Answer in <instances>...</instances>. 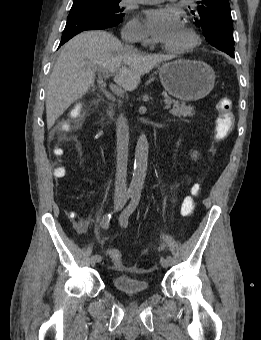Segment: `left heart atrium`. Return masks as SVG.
Instances as JSON below:
<instances>
[{
  "mask_svg": "<svg viewBox=\"0 0 261 340\" xmlns=\"http://www.w3.org/2000/svg\"><path fill=\"white\" fill-rule=\"evenodd\" d=\"M145 22L153 38L163 45H167L182 28L180 15L172 8L147 10Z\"/></svg>",
  "mask_w": 261,
  "mask_h": 340,
  "instance_id": "39dd6f15",
  "label": "left heart atrium"
}]
</instances>
